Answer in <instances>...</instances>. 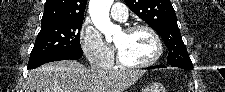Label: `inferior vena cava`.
<instances>
[{
	"mask_svg": "<svg viewBox=\"0 0 225 92\" xmlns=\"http://www.w3.org/2000/svg\"><path fill=\"white\" fill-rule=\"evenodd\" d=\"M91 69L92 70H99L100 67H98L97 65L91 64Z\"/></svg>",
	"mask_w": 225,
	"mask_h": 92,
	"instance_id": "inferior-vena-cava-1",
	"label": "inferior vena cava"
}]
</instances>
